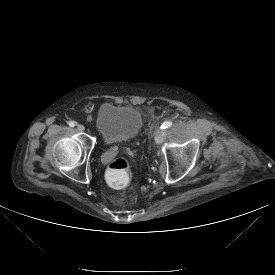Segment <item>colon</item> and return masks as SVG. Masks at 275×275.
Instances as JSON below:
<instances>
[{"mask_svg":"<svg viewBox=\"0 0 275 275\" xmlns=\"http://www.w3.org/2000/svg\"><path fill=\"white\" fill-rule=\"evenodd\" d=\"M106 178L113 186H125L130 179L129 161L124 157L112 159L106 169Z\"/></svg>","mask_w":275,"mask_h":275,"instance_id":"obj_1","label":"colon"}]
</instances>
